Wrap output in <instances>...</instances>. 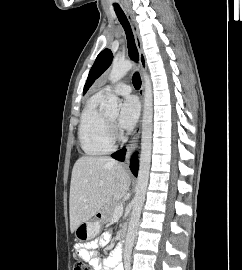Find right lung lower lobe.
<instances>
[{"label": "right lung lower lobe", "instance_id": "98d812e1", "mask_svg": "<svg viewBox=\"0 0 242 270\" xmlns=\"http://www.w3.org/2000/svg\"><path fill=\"white\" fill-rule=\"evenodd\" d=\"M130 169L132 173L137 176V171H138V160H137V154L135 153L132 158H131V163H130Z\"/></svg>", "mask_w": 242, "mask_h": 270}]
</instances>
